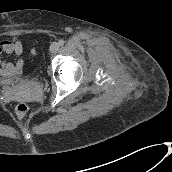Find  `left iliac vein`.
<instances>
[{
  "mask_svg": "<svg viewBox=\"0 0 172 172\" xmlns=\"http://www.w3.org/2000/svg\"><path fill=\"white\" fill-rule=\"evenodd\" d=\"M59 49V44L57 42H53L50 46V52L56 53Z\"/></svg>",
  "mask_w": 172,
  "mask_h": 172,
  "instance_id": "left-iliac-vein-1",
  "label": "left iliac vein"
}]
</instances>
